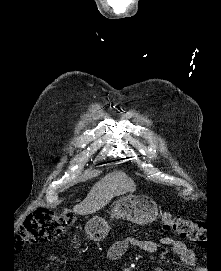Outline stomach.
Instances as JSON below:
<instances>
[{
  "mask_svg": "<svg viewBox=\"0 0 221 271\" xmlns=\"http://www.w3.org/2000/svg\"><path fill=\"white\" fill-rule=\"evenodd\" d=\"M153 197H121L114 203L111 217H128L134 223H149L158 213ZM110 227L102 217H92L85 225V233L92 241H101Z\"/></svg>",
  "mask_w": 221,
  "mask_h": 271,
  "instance_id": "1",
  "label": "stomach"
}]
</instances>
